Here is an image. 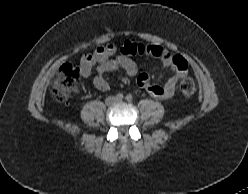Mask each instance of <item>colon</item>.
<instances>
[{
  "instance_id": "1",
  "label": "colon",
  "mask_w": 248,
  "mask_h": 194,
  "mask_svg": "<svg viewBox=\"0 0 248 194\" xmlns=\"http://www.w3.org/2000/svg\"><path fill=\"white\" fill-rule=\"evenodd\" d=\"M138 53H144V45L139 44ZM80 77V70L71 64H63L56 72L52 82V95L58 101H65L72 91L77 87ZM180 93L188 98L196 91V84L192 78H184L180 82Z\"/></svg>"
}]
</instances>
